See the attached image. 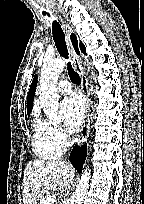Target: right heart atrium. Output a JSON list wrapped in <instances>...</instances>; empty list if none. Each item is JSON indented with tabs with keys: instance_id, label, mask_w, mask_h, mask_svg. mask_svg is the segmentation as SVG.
Segmentation results:
<instances>
[{
	"instance_id": "right-heart-atrium-1",
	"label": "right heart atrium",
	"mask_w": 144,
	"mask_h": 204,
	"mask_svg": "<svg viewBox=\"0 0 144 204\" xmlns=\"http://www.w3.org/2000/svg\"><path fill=\"white\" fill-rule=\"evenodd\" d=\"M49 134L53 143L62 151L69 144V137L66 131L57 123L48 122Z\"/></svg>"
}]
</instances>
